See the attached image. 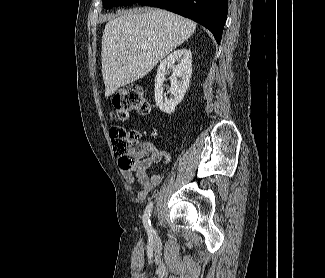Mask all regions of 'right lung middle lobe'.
<instances>
[{
    "mask_svg": "<svg viewBox=\"0 0 325 278\" xmlns=\"http://www.w3.org/2000/svg\"><path fill=\"white\" fill-rule=\"evenodd\" d=\"M137 0H103V6L106 9H110L114 6H125V5H132L133 3H136Z\"/></svg>",
    "mask_w": 325,
    "mask_h": 278,
    "instance_id": "obj_1",
    "label": "right lung middle lobe"
}]
</instances>
